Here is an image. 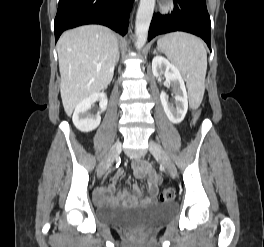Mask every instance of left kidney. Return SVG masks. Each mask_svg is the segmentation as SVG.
Returning <instances> with one entry per match:
<instances>
[{"label":"left kidney","mask_w":264,"mask_h":247,"mask_svg":"<svg viewBox=\"0 0 264 247\" xmlns=\"http://www.w3.org/2000/svg\"><path fill=\"white\" fill-rule=\"evenodd\" d=\"M152 72L155 77L164 74L166 81L172 86L176 106L169 103L168 96L163 91L160 100L168 119L174 124L180 123L188 110V96L179 70L165 57L156 56L152 60Z\"/></svg>","instance_id":"obj_1"}]
</instances>
